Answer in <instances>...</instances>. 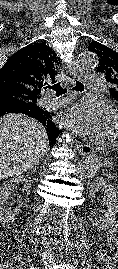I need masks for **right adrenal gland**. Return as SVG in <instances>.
<instances>
[{
    "label": "right adrenal gland",
    "instance_id": "2a0ac1e0",
    "mask_svg": "<svg viewBox=\"0 0 118 269\" xmlns=\"http://www.w3.org/2000/svg\"><path fill=\"white\" fill-rule=\"evenodd\" d=\"M37 166H38V164L35 165V166L32 168L34 172H36V168H37Z\"/></svg>",
    "mask_w": 118,
    "mask_h": 269
}]
</instances>
